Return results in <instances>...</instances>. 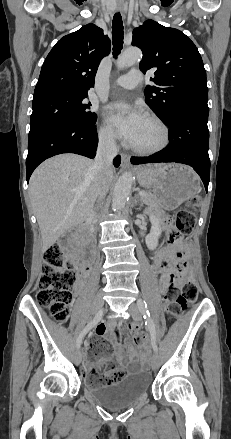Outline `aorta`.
<instances>
[{
	"label": "aorta",
	"instance_id": "obj_1",
	"mask_svg": "<svg viewBox=\"0 0 231 439\" xmlns=\"http://www.w3.org/2000/svg\"><path fill=\"white\" fill-rule=\"evenodd\" d=\"M142 57V52L138 48H129L125 50L117 60V68L124 69L130 67L139 61ZM133 177L131 172H124L118 179L114 187L112 208L113 210H121L124 208L131 188Z\"/></svg>",
	"mask_w": 231,
	"mask_h": 439
}]
</instances>
